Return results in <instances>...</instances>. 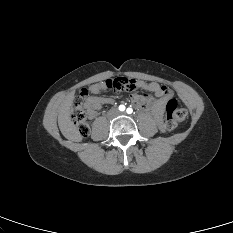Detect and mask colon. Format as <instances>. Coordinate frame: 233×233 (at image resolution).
<instances>
[{
  "label": "colon",
  "instance_id": "5ec220e1",
  "mask_svg": "<svg viewBox=\"0 0 233 233\" xmlns=\"http://www.w3.org/2000/svg\"><path fill=\"white\" fill-rule=\"evenodd\" d=\"M136 86V80L129 78H115L105 81V87L116 92L131 91ZM91 91L82 89L75 98L71 117L81 136L86 137L89 134V124L87 121L88 108L91 102ZM167 117L164 126L166 130L172 131L187 118V111L184 108H178L174 98L167 101Z\"/></svg>",
  "mask_w": 233,
  "mask_h": 233
}]
</instances>
